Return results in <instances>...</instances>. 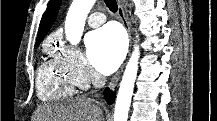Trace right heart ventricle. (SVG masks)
Masks as SVG:
<instances>
[{
	"instance_id": "1",
	"label": "right heart ventricle",
	"mask_w": 217,
	"mask_h": 121,
	"mask_svg": "<svg viewBox=\"0 0 217 121\" xmlns=\"http://www.w3.org/2000/svg\"><path fill=\"white\" fill-rule=\"evenodd\" d=\"M76 83L57 60L41 64L37 72V94L42 101H60L74 94Z\"/></svg>"
}]
</instances>
